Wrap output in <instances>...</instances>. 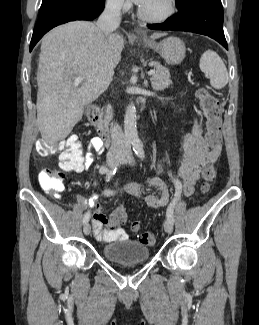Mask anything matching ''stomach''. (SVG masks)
Listing matches in <instances>:
<instances>
[{
	"label": "stomach",
	"instance_id": "stomach-1",
	"mask_svg": "<svg viewBox=\"0 0 259 325\" xmlns=\"http://www.w3.org/2000/svg\"><path fill=\"white\" fill-rule=\"evenodd\" d=\"M144 42L148 48L157 51L170 65L180 64L185 57V44L177 37H168L160 43L148 40H145Z\"/></svg>",
	"mask_w": 259,
	"mask_h": 325
}]
</instances>
